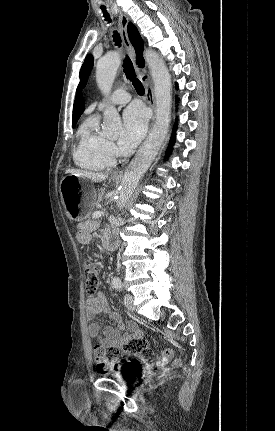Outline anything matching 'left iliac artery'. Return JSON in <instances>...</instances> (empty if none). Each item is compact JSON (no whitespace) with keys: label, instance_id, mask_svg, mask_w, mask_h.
I'll return each mask as SVG.
<instances>
[{"label":"left iliac artery","instance_id":"obj_1","mask_svg":"<svg viewBox=\"0 0 275 431\" xmlns=\"http://www.w3.org/2000/svg\"><path fill=\"white\" fill-rule=\"evenodd\" d=\"M114 288L121 290L122 289V282L120 279H114L112 282Z\"/></svg>","mask_w":275,"mask_h":431}]
</instances>
